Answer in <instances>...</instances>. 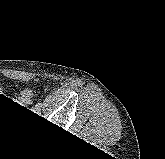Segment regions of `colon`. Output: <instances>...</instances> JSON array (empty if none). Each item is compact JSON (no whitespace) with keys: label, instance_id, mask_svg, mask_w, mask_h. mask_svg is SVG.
Masks as SVG:
<instances>
[{"label":"colon","instance_id":"obj_1","mask_svg":"<svg viewBox=\"0 0 165 159\" xmlns=\"http://www.w3.org/2000/svg\"><path fill=\"white\" fill-rule=\"evenodd\" d=\"M25 93H26L27 95H30V94H31V92L28 91V90H26Z\"/></svg>","mask_w":165,"mask_h":159}]
</instances>
